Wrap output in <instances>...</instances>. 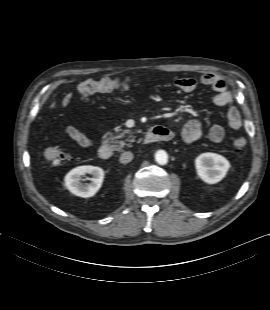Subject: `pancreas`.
<instances>
[{"instance_id": "cf45deb5", "label": "pancreas", "mask_w": 270, "mask_h": 310, "mask_svg": "<svg viewBox=\"0 0 270 310\" xmlns=\"http://www.w3.org/2000/svg\"><path fill=\"white\" fill-rule=\"evenodd\" d=\"M116 131L119 132L121 130L117 129ZM133 133L134 132L126 129V130H123L121 133L116 134V135H113V133H106L103 138L106 139L105 142L114 143V145H113L114 150H120L125 145L129 146V144H126V142H134L135 140H134V138L133 139L120 140V141H117L116 139H120V138H123L125 136L131 137L133 135Z\"/></svg>"}]
</instances>
